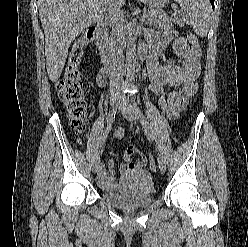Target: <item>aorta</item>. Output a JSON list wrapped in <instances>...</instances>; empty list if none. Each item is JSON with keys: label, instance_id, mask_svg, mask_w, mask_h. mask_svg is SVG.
<instances>
[{"label": "aorta", "instance_id": "762f6f07", "mask_svg": "<svg viewBox=\"0 0 248 247\" xmlns=\"http://www.w3.org/2000/svg\"><path fill=\"white\" fill-rule=\"evenodd\" d=\"M136 59V38L130 33L126 40V79L129 82L134 79Z\"/></svg>", "mask_w": 248, "mask_h": 247}]
</instances>
